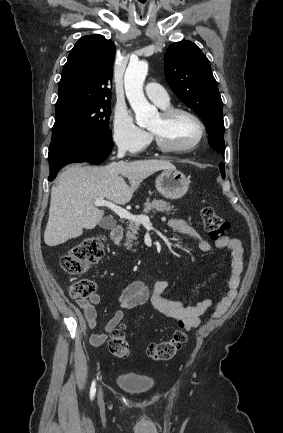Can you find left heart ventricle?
<instances>
[{"mask_svg":"<svg viewBox=\"0 0 283 433\" xmlns=\"http://www.w3.org/2000/svg\"><path fill=\"white\" fill-rule=\"evenodd\" d=\"M149 129L155 133L163 134L177 148L189 145L199 134V127L196 121L186 114H180L174 118L167 129H164L159 115L150 125Z\"/></svg>","mask_w":283,"mask_h":433,"instance_id":"b2bd125f","label":"left heart ventricle"}]
</instances>
